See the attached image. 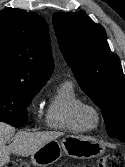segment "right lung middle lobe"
I'll return each instance as SVG.
<instances>
[{
    "instance_id": "1",
    "label": "right lung middle lobe",
    "mask_w": 125,
    "mask_h": 167,
    "mask_svg": "<svg viewBox=\"0 0 125 167\" xmlns=\"http://www.w3.org/2000/svg\"><path fill=\"white\" fill-rule=\"evenodd\" d=\"M0 87V122L22 127L27 122V106L38 93Z\"/></svg>"
}]
</instances>
